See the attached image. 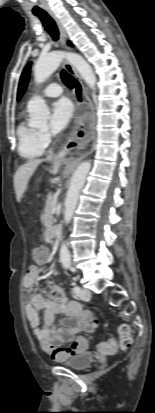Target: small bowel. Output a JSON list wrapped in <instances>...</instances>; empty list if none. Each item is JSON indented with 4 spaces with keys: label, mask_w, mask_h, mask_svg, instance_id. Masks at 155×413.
<instances>
[{
    "label": "small bowel",
    "mask_w": 155,
    "mask_h": 413,
    "mask_svg": "<svg viewBox=\"0 0 155 413\" xmlns=\"http://www.w3.org/2000/svg\"><path fill=\"white\" fill-rule=\"evenodd\" d=\"M49 236L48 232L47 237ZM40 276L41 269L38 266H29L24 277L25 288L31 289ZM40 310H43V325H41ZM25 313L34 336L44 349L47 344L61 347L64 343L72 342L76 333L93 332L98 325L96 317L83 310L78 302L69 299L62 288L57 285L49 286L48 296L31 295L25 307ZM60 313L65 314L66 317L62 320L60 327L56 328L54 326L55 316ZM87 346L88 342L82 339L73 352L61 355L57 361H64L73 355L83 353Z\"/></svg>",
    "instance_id": "1"
}]
</instances>
